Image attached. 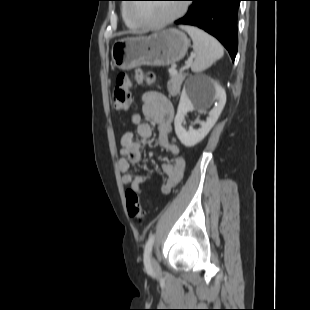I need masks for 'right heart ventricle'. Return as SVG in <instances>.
<instances>
[{"mask_svg": "<svg viewBox=\"0 0 310 310\" xmlns=\"http://www.w3.org/2000/svg\"><path fill=\"white\" fill-rule=\"evenodd\" d=\"M122 15L123 19L126 23V25L131 29H138L140 26H138L135 22H133L127 15V5H123L122 7Z\"/></svg>", "mask_w": 310, "mask_h": 310, "instance_id": "1", "label": "right heart ventricle"}]
</instances>
